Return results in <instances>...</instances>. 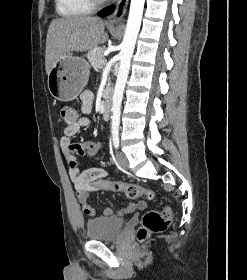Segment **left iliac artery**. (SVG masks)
Instances as JSON below:
<instances>
[{
	"mask_svg": "<svg viewBox=\"0 0 247 280\" xmlns=\"http://www.w3.org/2000/svg\"><path fill=\"white\" fill-rule=\"evenodd\" d=\"M113 145L116 149H118V147H119V137L118 136L113 137Z\"/></svg>",
	"mask_w": 247,
	"mask_h": 280,
	"instance_id": "left-iliac-artery-1",
	"label": "left iliac artery"
}]
</instances>
